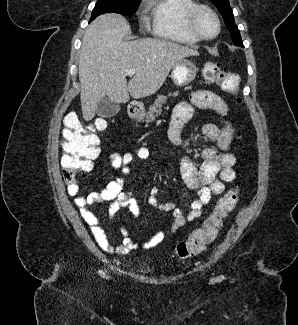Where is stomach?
Masks as SVG:
<instances>
[{"mask_svg":"<svg viewBox=\"0 0 298 325\" xmlns=\"http://www.w3.org/2000/svg\"><path fill=\"white\" fill-rule=\"evenodd\" d=\"M197 72L198 68L193 60H189V58H180L177 64H174L170 72V78L176 86H186V84H191V82H193L194 78L197 76ZM144 114V108H140L139 112H135L133 118L142 120Z\"/></svg>","mask_w":298,"mask_h":325,"instance_id":"1","label":"stomach"}]
</instances>
